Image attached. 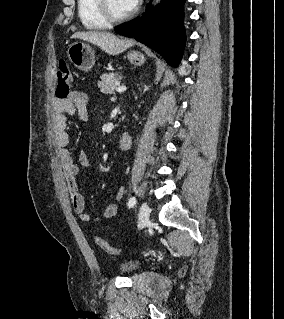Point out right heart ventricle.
I'll return each mask as SVG.
<instances>
[{"mask_svg": "<svg viewBox=\"0 0 284 319\" xmlns=\"http://www.w3.org/2000/svg\"><path fill=\"white\" fill-rule=\"evenodd\" d=\"M77 10L87 29H104L109 24L100 12L98 0H77Z\"/></svg>", "mask_w": 284, "mask_h": 319, "instance_id": "e07e8e85", "label": "right heart ventricle"}]
</instances>
